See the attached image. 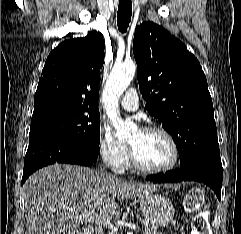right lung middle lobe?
Returning <instances> with one entry per match:
<instances>
[{
    "label": "right lung middle lobe",
    "instance_id": "1",
    "mask_svg": "<svg viewBox=\"0 0 241 234\" xmlns=\"http://www.w3.org/2000/svg\"><path fill=\"white\" fill-rule=\"evenodd\" d=\"M59 138L99 155L100 114L97 107L69 103L34 106L29 143Z\"/></svg>",
    "mask_w": 241,
    "mask_h": 234
}]
</instances>
